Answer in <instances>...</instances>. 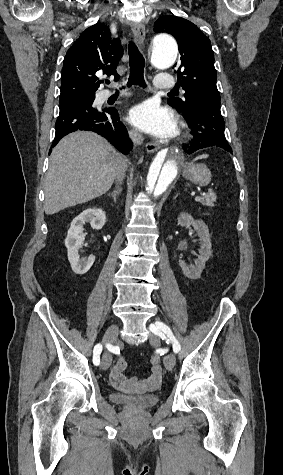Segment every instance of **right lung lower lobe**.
I'll return each instance as SVG.
<instances>
[{"label":"right lung lower lobe","instance_id":"1","mask_svg":"<svg viewBox=\"0 0 283 475\" xmlns=\"http://www.w3.org/2000/svg\"><path fill=\"white\" fill-rule=\"evenodd\" d=\"M93 101H72L60 105L52 147L69 133L85 130L98 133L120 152L128 154L132 149V142L128 137L126 127L119 121L117 110L114 108L97 109L93 107Z\"/></svg>","mask_w":283,"mask_h":475}]
</instances>
